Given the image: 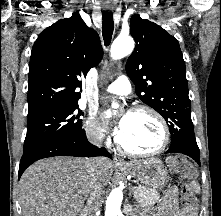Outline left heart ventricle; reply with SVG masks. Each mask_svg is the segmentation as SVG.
Segmentation results:
<instances>
[{"label": "left heart ventricle", "instance_id": "left-heart-ventricle-1", "mask_svg": "<svg viewBox=\"0 0 221 216\" xmlns=\"http://www.w3.org/2000/svg\"><path fill=\"white\" fill-rule=\"evenodd\" d=\"M162 135L161 126L152 115L130 112L119 140L129 149L146 152L159 146Z\"/></svg>", "mask_w": 221, "mask_h": 216}]
</instances>
